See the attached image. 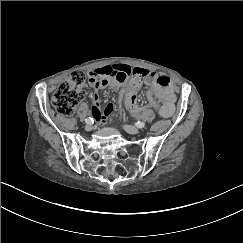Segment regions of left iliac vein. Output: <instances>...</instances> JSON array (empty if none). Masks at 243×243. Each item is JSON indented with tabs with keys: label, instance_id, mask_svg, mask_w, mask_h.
Returning a JSON list of instances; mask_svg holds the SVG:
<instances>
[{
	"label": "left iliac vein",
	"instance_id": "obj_1",
	"mask_svg": "<svg viewBox=\"0 0 243 243\" xmlns=\"http://www.w3.org/2000/svg\"><path fill=\"white\" fill-rule=\"evenodd\" d=\"M124 129L126 132L130 133V134H138L140 132V130L134 126H129L126 125L124 126Z\"/></svg>",
	"mask_w": 243,
	"mask_h": 243
}]
</instances>
